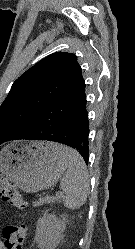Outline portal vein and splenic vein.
Returning <instances> with one entry per match:
<instances>
[{
	"mask_svg": "<svg viewBox=\"0 0 135 249\" xmlns=\"http://www.w3.org/2000/svg\"><path fill=\"white\" fill-rule=\"evenodd\" d=\"M62 195V192H56V196Z\"/></svg>",
	"mask_w": 135,
	"mask_h": 249,
	"instance_id": "portal-vein-and-splenic-vein-1",
	"label": "portal vein and splenic vein"
}]
</instances>
